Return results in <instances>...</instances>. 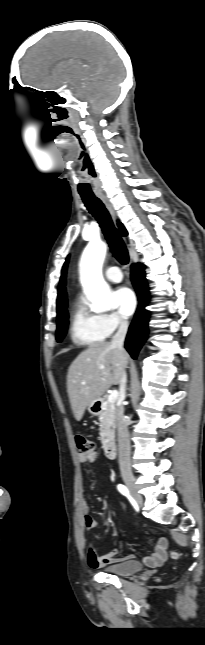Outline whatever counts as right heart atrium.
I'll return each instance as SVG.
<instances>
[{"label": "right heart atrium", "mask_w": 205, "mask_h": 645, "mask_svg": "<svg viewBox=\"0 0 205 645\" xmlns=\"http://www.w3.org/2000/svg\"><path fill=\"white\" fill-rule=\"evenodd\" d=\"M101 323L108 335L127 326L126 320L114 312L101 315Z\"/></svg>", "instance_id": "1"}]
</instances>
